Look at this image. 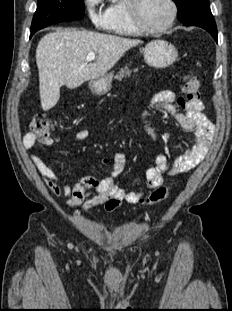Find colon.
I'll return each mask as SVG.
<instances>
[{
	"mask_svg": "<svg viewBox=\"0 0 232 311\" xmlns=\"http://www.w3.org/2000/svg\"><path fill=\"white\" fill-rule=\"evenodd\" d=\"M183 91L186 99L189 101H196L200 98V81L193 73L185 77V84ZM53 127V122L43 114L35 115L29 122V130L38 137H46ZM170 194L167 187H159L154 190L141 204L143 206H153L166 200Z\"/></svg>",
	"mask_w": 232,
	"mask_h": 311,
	"instance_id": "5ec220e1",
	"label": "colon"
}]
</instances>
